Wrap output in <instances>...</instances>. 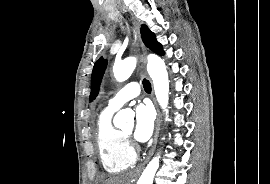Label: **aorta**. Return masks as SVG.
Listing matches in <instances>:
<instances>
[{"mask_svg":"<svg viewBox=\"0 0 270 184\" xmlns=\"http://www.w3.org/2000/svg\"><path fill=\"white\" fill-rule=\"evenodd\" d=\"M147 71L153 81L154 91L162 109L168 113L167 105L169 100V79L165 62L157 55L151 54L147 57ZM135 57H127L113 66L114 77L118 82L127 80L136 67ZM134 121V112L121 110L114 117V125L117 128H124ZM160 156L154 157L146 166L137 184H153L154 176L159 168Z\"/></svg>","mask_w":270,"mask_h":184,"instance_id":"1","label":"aorta"}]
</instances>
